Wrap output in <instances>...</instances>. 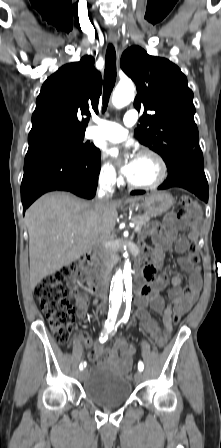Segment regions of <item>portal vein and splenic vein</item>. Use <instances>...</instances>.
Instances as JSON below:
<instances>
[{"label": "portal vein and splenic vein", "instance_id": "portal-vein-and-splenic-vein-1", "mask_svg": "<svg viewBox=\"0 0 221 448\" xmlns=\"http://www.w3.org/2000/svg\"><path fill=\"white\" fill-rule=\"evenodd\" d=\"M134 230H135V232H139L141 230V227L138 225H135Z\"/></svg>", "mask_w": 221, "mask_h": 448}]
</instances>
